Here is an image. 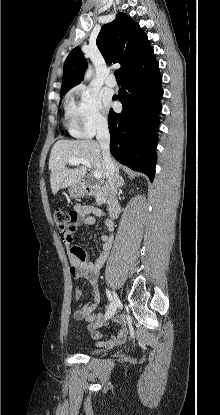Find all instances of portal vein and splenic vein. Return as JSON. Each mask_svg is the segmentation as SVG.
<instances>
[{"instance_id":"obj_1","label":"portal vein and splenic vein","mask_w":220,"mask_h":415,"mask_svg":"<svg viewBox=\"0 0 220 415\" xmlns=\"http://www.w3.org/2000/svg\"><path fill=\"white\" fill-rule=\"evenodd\" d=\"M69 164H71V165L83 164L88 168H92V165L90 164V162L85 160V159H82V158H70L69 159ZM93 175L96 179L101 178V173L96 171V170L93 171Z\"/></svg>"}]
</instances>
